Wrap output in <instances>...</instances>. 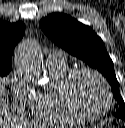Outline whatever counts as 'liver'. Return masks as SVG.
Wrapping results in <instances>:
<instances>
[{
  "label": "liver",
  "mask_w": 125,
  "mask_h": 128,
  "mask_svg": "<svg viewBox=\"0 0 125 128\" xmlns=\"http://www.w3.org/2000/svg\"><path fill=\"white\" fill-rule=\"evenodd\" d=\"M8 96L6 90L0 83V128H9L12 126V118L8 110Z\"/></svg>",
  "instance_id": "liver-1"
}]
</instances>
